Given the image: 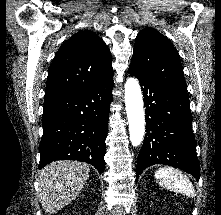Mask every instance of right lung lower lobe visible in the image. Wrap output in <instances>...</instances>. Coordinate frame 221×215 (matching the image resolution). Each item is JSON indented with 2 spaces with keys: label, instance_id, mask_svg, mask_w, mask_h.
Masks as SVG:
<instances>
[{
  "label": "right lung lower lobe",
  "instance_id": "1",
  "mask_svg": "<svg viewBox=\"0 0 221 215\" xmlns=\"http://www.w3.org/2000/svg\"><path fill=\"white\" fill-rule=\"evenodd\" d=\"M113 79L45 105L39 169L55 160H78L104 171Z\"/></svg>",
  "mask_w": 221,
  "mask_h": 215
}]
</instances>
